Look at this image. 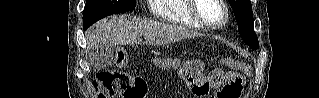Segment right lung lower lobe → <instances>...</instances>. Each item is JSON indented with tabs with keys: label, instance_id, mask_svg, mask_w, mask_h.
<instances>
[{
	"label": "right lung lower lobe",
	"instance_id": "right-lung-lower-lobe-1",
	"mask_svg": "<svg viewBox=\"0 0 319 98\" xmlns=\"http://www.w3.org/2000/svg\"><path fill=\"white\" fill-rule=\"evenodd\" d=\"M88 27H89V26H85V27H83V28H84V30H86Z\"/></svg>",
	"mask_w": 319,
	"mask_h": 98
}]
</instances>
